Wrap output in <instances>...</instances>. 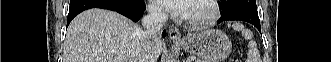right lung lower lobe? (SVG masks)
I'll return each instance as SVG.
<instances>
[{
    "instance_id": "98d812e1",
    "label": "right lung lower lobe",
    "mask_w": 331,
    "mask_h": 62,
    "mask_svg": "<svg viewBox=\"0 0 331 62\" xmlns=\"http://www.w3.org/2000/svg\"><path fill=\"white\" fill-rule=\"evenodd\" d=\"M91 8H102L116 11L134 22H137L145 10V3L143 0L132 5H127L117 0H77L70 3L67 26L76 15ZM163 37H165V31L163 32Z\"/></svg>"
}]
</instances>
